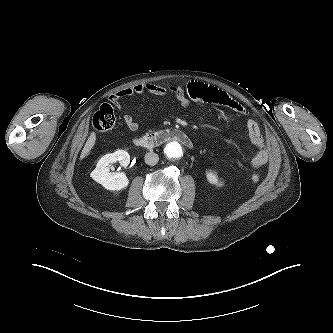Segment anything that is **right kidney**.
Returning <instances> with one entry per match:
<instances>
[{
  "instance_id": "obj_1",
  "label": "right kidney",
  "mask_w": 333,
  "mask_h": 333,
  "mask_svg": "<svg viewBox=\"0 0 333 333\" xmlns=\"http://www.w3.org/2000/svg\"><path fill=\"white\" fill-rule=\"evenodd\" d=\"M120 162L127 167L130 163V155L124 150H117L114 153L104 155L97 163L96 168L91 172V177L107 190H121L128 186L129 180L125 173H112L109 166L111 163Z\"/></svg>"
}]
</instances>
